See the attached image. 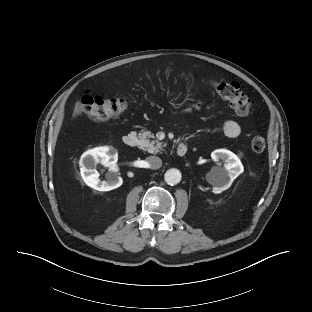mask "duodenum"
<instances>
[{
    "instance_id": "duodenum-1",
    "label": "duodenum",
    "mask_w": 312,
    "mask_h": 312,
    "mask_svg": "<svg viewBox=\"0 0 312 312\" xmlns=\"http://www.w3.org/2000/svg\"><path fill=\"white\" fill-rule=\"evenodd\" d=\"M138 138L135 134L129 133L123 137V144L127 147H135L137 145ZM188 151L187 144H179L176 148V152L179 156H184Z\"/></svg>"
}]
</instances>
